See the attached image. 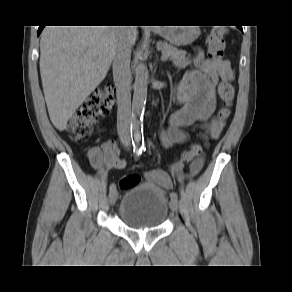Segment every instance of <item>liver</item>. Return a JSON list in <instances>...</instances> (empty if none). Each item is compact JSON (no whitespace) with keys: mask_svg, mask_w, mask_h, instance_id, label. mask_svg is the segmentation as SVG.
<instances>
[{"mask_svg":"<svg viewBox=\"0 0 292 292\" xmlns=\"http://www.w3.org/2000/svg\"><path fill=\"white\" fill-rule=\"evenodd\" d=\"M46 26L40 40V75L52 124L63 131L69 119L104 80L121 38L132 46L129 26Z\"/></svg>","mask_w":292,"mask_h":292,"instance_id":"6515ba94","label":"liver"}]
</instances>
